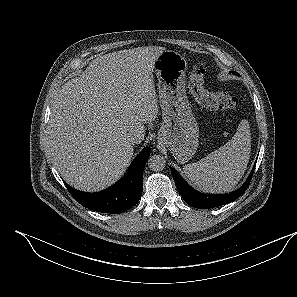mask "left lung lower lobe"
Returning <instances> with one entry per match:
<instances>
[{"mask_svg": "<svg viewBox=\"0 0 297 297\" xmlns=\"http://www.w3.org/2000/svg\"><path fill=\"white\" fill-rule=\"evenodd\" d=\"M256 162L247 180L239 189L229 194H221V195L203 194V193L197 192L193 188H191L186 183V181L181 177V175H179L174 169L170 168V170H171L173 179L175 181L176 187L181 197L184 199V201L192 207L199 208V209H207V208L225 205L239 198L246 191V189L250 184Z\"/></svg>", "mask_w": 297, "mask_h": 297, "instance_id": "0a47b994", "label": "left lung lower lobe"}]
</instances>
